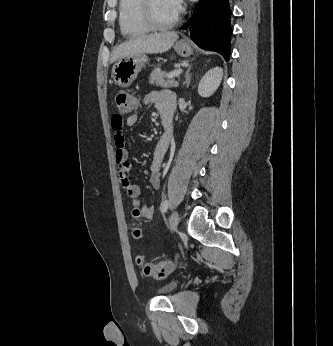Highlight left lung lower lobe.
I'll use <instances>...</instances> for the list:
<instances>
[{
    "mask_svg": "<svg viewBox=\"0 0 333 346\" xmlns=\"http://www.w3.org/2000/svg\"><path fill=\"white\" fill-rule=\"evenodd\" d=\"M231 9L229 0H201L183 29L201 48L220 53L229 60L231 46Z\"/></svg>",
    "mask_w": 333,
    "mask_h": 346,
    "instance_id": "0a47b994",
    "label": "left lung lower lobe"
}]
</instances>
